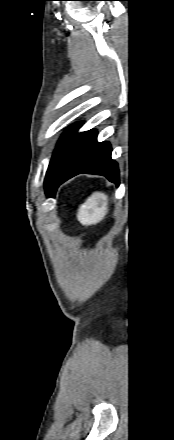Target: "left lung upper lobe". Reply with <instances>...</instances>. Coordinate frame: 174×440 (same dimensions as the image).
Instances as JSON below:
<instances>
[{
	"mask_svg": "<svg viewBox=\"0 0 174 440\" xmlns=\"http://www.w3.org/2000/svg\"><path fill=\"white\" fill-rule=\"evenodd\" d=\"M81 125L82 122L71 125L69 129L64 132L56 150L53 153L45 178L46 195L49 197L52 193L53 185L57 177L65 167L69 156L81 134L77 133V130L81 127Z\"/></svg>",
	"mask_w": 174,
	"mask_h": 440,
	"instance_id": "left-lung-upper-lobe-1",
	"label": "left lung upper lobe"
}]
</instances>
